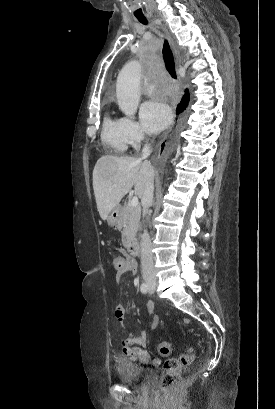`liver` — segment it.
Listing matches in <instances>:
<instances>
[{
  "mask_svg": "<svg viewBox=\"0 0 275 409\" xmlns=\"http://www.w3.org/2000/svg\"><path fill=\"white\" fill-rule=\"evenodd\" d=\"M153 174V166L149 160L109 154L98 158L93 170V188L101 219L106 221L110 211L119 205L121 198L132 186L135 194L142 198L145 186L152 180Z\"/></svg>",
  "mask_w": 275,
  "mask_h": 409,
  "instance_id": "1",
  "label": "liver"
}]
</instances>
